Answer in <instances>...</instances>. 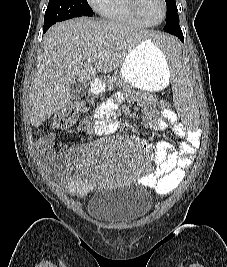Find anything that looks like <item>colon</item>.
Wrapping results in <instances>:
<instances>
[{
	"mask_svg": "<svg viewBox=\"0 0 227 267\" xmlns=\"http://www.w3.org/2000/svg\"><path fill=\"white\" fill-rule=\"evenodd\" d=\"M87 109L84 101H79L68 107L66 110L54 116L52 128L54 130H62L71 127L77 118ZM159 109H174V105L170 100H161Z\"/></svg>",
	"mask_w": 227,
	"mask_h": 267,
	"instance_id": "colon-1",
	"label": "colon"
}]
</instances>
